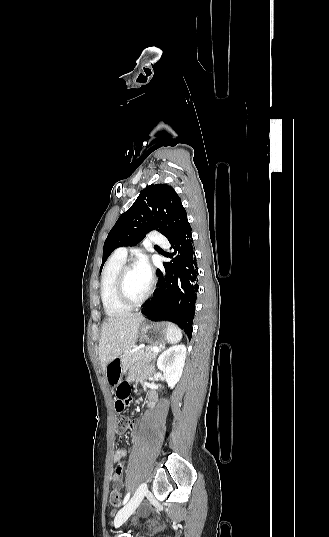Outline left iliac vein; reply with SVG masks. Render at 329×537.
<instances>
[{
    "label": "left iliac vein",
    "mask_w": 329,
    "mask_h": 537,
    "mask_svg": "<svg viewBox=\"0 0 329 537\" xmlns=\"http://www.w3.org/2000/svg\"><path fill=\"white\" fill-rule=\"evenodd\" d=\"M147 490V484L142 482L129 502L117 513L114 519L115 528L120 527L134 513L141 504Z\"/></svg>",
    "instance_id": "left-iliac-vein-1"
}]
</instances>
